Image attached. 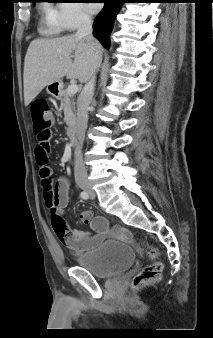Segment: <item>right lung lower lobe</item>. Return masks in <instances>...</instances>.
I'll return each instance as SVG.
<instances>
[{
    "label": "right lung lower lobe",
    "mask_w": 213,
    "mask_h": 338,
    "mask_svg": "<svg viewBox=\"0 0 213 338\" xmlns=\"http://www.w3.org/2000/svg\"><path fill=\"white\" fill-rule=\"evenodd\" d=\"M123 3H125V0H104V8L94 21L93 34L105 48H108L110 45L109 35Z\"/></svg>",
    "instance_id": "obj_1"
}]
</instances>
